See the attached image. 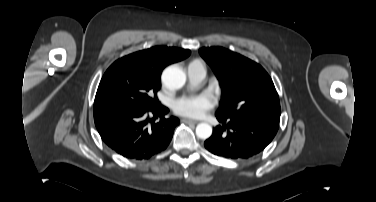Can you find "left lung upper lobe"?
<instances>
[{"mask_svg": "<svg viewBox=\"0 0 376 202\" xmlns=\"http://www.w3.org/2000/svg\"><path fill=\"white\" fill-rule=\"evenodd\" d=\"M223 89L216 115L258 118L279 125L280 102L268 73L254 61L222 47L201 48Z\"/></svg>", "mask_w": 376, "mask_h": 202, "instance_id": "left-lung-upper-lobe-1", "label": "left lung upper lobe"}]
</instances>
